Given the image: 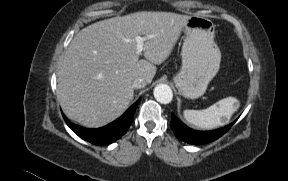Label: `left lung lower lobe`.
<instances>
[{
  "label": "left lung lower lobe",
  "mask_w": 288,
  "mask_h": 181,
  "mask_svg": "<svg viewBox=\"0 0 288 181\" xmlns=\"http://www.w3.org/2000/svg\"><path fill=\"white\" fill-rule=\"evenodd\" d=\"M171 116L172 119L170 125L176 137L181 141L193 145H203L218 139L219 137L224 135L234 124L233 122L223 128H219L212 131H197L187 127L173 114Z\"/></svg>",
  "instance_id": "left-lung-lower-lobe-1"
}]
</instances>
